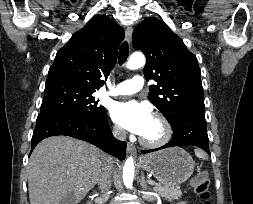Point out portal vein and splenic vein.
I'll list each match as a JSON object with an SVG mask.
<instances>
[{
    "label": "portal vein and splenic vein",
    "mask_w": 253,
    "mask_h": 204,
    "mask_svg": "<svg viewBox=\"0 0 253 204\" xmlns=\"http://www.w3.org/2000/svg\"><path fill=\"white\" fill-rule=\"evenodd\" d=\"M147 182H148V184H150V185H156V184H157V183H156L155 181H153V180H148Z\"/></svg>",
    "instance_id": "portal-vein-and-splenic-vein-1"
}]
</instances>
